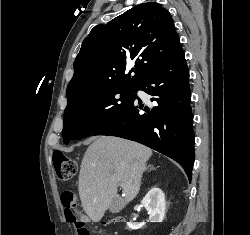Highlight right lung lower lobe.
Masks as SVG:
<instances>
[{
    "instance_id": "obj_1",
    "label": "right lung lower lobe",
    "mask_w": 250,
    "mask_h": 235,
    "mask_svg": "<svg viewBox=\"0 0 250 235\" xmlns=\"http://www.w3.org/2000/svg\"><path fill=\"white\" fill-rule=\"evenodd\" d=\"M188 80L189 70L179 40L168 59L136 86V92L143 90L158 105L149 109L134 95L118 115L93 135L142 143L177 161L191 179L195 136Z\"/></svg>"
}]
</instances>
